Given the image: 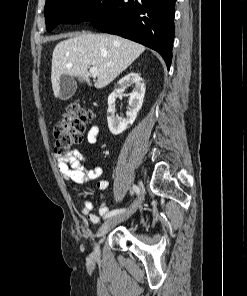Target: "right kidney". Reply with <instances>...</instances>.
Here are the masks:
<instances>
[{
    "instance_id": "ca27d5eb",
    "label": "right kidney",
    "mask_w": 247,
    "mask_h": 296,
    "mask_svg": "<svg viewBox=\"0 0 247 296\" xmlns=\"http://www.w3.org/2000/svg\"><path fill=\"white\" fill-rule=\"evenodd\" d=\"M129 84H135V88L129 97V111L125 118L115 116V110L112 105L115 103V99L118 93H123ZM145 95V85L142 78L138 73L131 72L124 76L118 82V88H116L108 97V127L112 134L118 135L125 131L130 125H132L140 111L143 99Z\"/></svg>"
}]
</instances>
